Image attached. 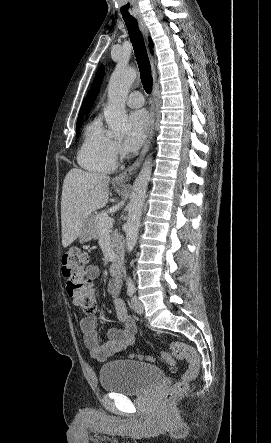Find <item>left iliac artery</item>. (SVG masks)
Returning a JSON list of instances; mask_svg holds the SVG:
<instances>
[{
    "label": "left iliac artery",
    "instance_id": "44dca946",
    "mask_svg": "<svg viewBox=\"0 0 271 443\" xmlns=\"http://www.w3.org/2000/svg\"><path fill=\"white\" fill-rule=\"evenodd\" d=\"M135 293V286L133 284H128L127 294L128 296H132Z\"/></svg>",
    "mask_w": 271,
    "mask_h": 443
}]
</instances>
